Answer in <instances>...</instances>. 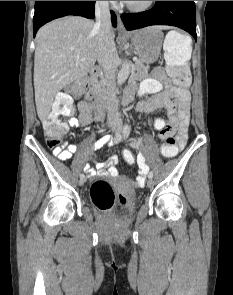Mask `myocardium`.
Returning a JSON list of instances; mask_svg holds the SVG:
<instances>
[{
	"label": "myocardium",
	"instance_id": "obj_1",
	"mask_svg": "<svg viewBox=\"0 0 233 295\" xmlns=\"http://www.w3.org/2000/svg\"><path fill=\"white\" fill-rule=\"evenodd\" d=\"M155 2L156 1H146L142 5H132V4L125 2V7L131 12L143 13V12H146L149 9H151L153 7V5L155 4Z\"/></svg>",
	"mask_w": 233,
	"mask_h": 295
}]
</instances>
